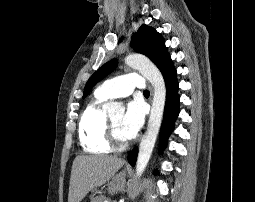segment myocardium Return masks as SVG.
I'll use <instances>...</instances> for the list:
<instances>
[{"label": "myocardium", "mask_w": 255, "mask_h": 202, "mask_svg": "<svg viewBox=\"0 0 255 202\" xmlns=\"http://www.w3.org/2000/svg\"><path fill=\"white\" fill-rule=\"evenodd\" d=\"M106 139L112 149L123 150L130 145L132 138L122 140L118 137L114 124L110 118L106 121Z\"/></svg>", "instance_id": "1"}]
</instances>
